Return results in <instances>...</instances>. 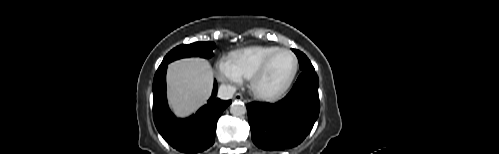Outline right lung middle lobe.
<instances>
[{
  "mask_svg": "<svg viewBox=\"0 0 499 154\" xmlns=\"http://www.w3.org/2000/svg\"><path fill=\"white\" fill-rule=\"evenodd\" d=\"M216 45L212 42H195L189 45H180L171 50L163 59L161 65L168 64L176 59L200 56L210 58L213 56L212 50Z\"/></svg>",
  "mask_w": 499,
  "mask_h": 154,
  "instance_id": "1",
  "label": "right lung middle lobe"
}]
</instances>
